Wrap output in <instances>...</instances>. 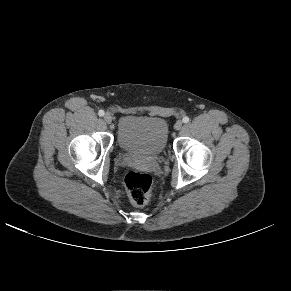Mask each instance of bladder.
Returning <instances> with one entry per match:
<instances>
[{
    "label": "bladder",
    "instance_id": "bladder-1",
    "mask_svg": "<svg viewBox=\"0 0 291 291\" xmlns=\"http://www.w3.org/2000/svg\"><path fill=\"white\" fill-rule=\"evenodd\" d=\"M169 127L159 116H122L117 125V143L125 152L158 155L167 145Z\"/></svg>",
    "mask_w": 291,
    "mask_h": 291
}]
</instances>
